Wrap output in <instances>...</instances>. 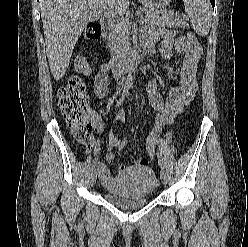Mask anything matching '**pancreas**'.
I'll return each mask as SVG.
<instances>
[{"label":"pancreas","mask_w":248,"mask_h":247,"mask_svg":"<svg viewBox=\"0 0 248 247\" xmlns=\"http://www.w3.org/2000/svg\"><path fill=\"white\" fill-rule=\"evenodd\" d=\"M140 22L147 28H161V27H182L188 28V24L180 17L168 15L161 16L160 12L156 10L141 9ZM109 33L106 36L108 40L107 46L110 48L112 56L123 55L129 50L130 46V22L129 18L124 15H116L111 17L108 21Z\"/></svg>","instance_id":"obj_1"}]
</instances>
